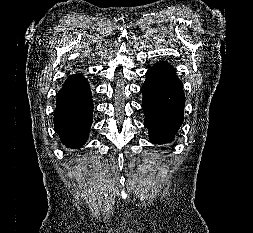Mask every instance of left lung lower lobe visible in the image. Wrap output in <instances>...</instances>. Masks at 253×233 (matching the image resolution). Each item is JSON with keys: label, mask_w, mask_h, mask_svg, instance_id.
<instances>
[{"label": "left lung lower lobe", "mask_w": 253, "mask_h": 233, "mask_svg": "<svg viewBox=\"0 0 253 233\" xmlns=\"http://www.w3.org/2000/svg\"><path fill=\"white\" fill-rule=\"evenodd\" d=\"M144 124L150 141L163 144L172 141L183 122L185 96L176 71L167 62H158L146 73L141 88Z\"/></svg>", "instance_id": "1"}]
</instances>
